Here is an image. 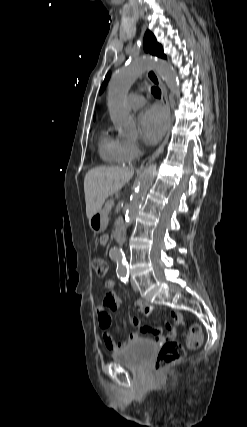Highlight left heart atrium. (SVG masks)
<instances>
[{"label":"left heart atrium","mask_w":247,"mask_h":427,"mask_svg":"<svg viewBox=\"0 0 247 427\" xmlns=\"http://www.w3.org/2000/svg\"><path fill=\"white\" fill-rule=\"evenodd\" d=\"M167 116L158 106L145 109L139 117L141 136L147 144H155L167 128Z\"/></svg>","instance_id":"1"}]
</instances>
